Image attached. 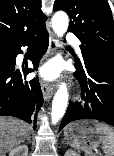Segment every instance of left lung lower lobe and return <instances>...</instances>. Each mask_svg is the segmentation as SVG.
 <instances>
[{"instance_id": "1", "label": "left lung lower lobe", "mask_w": 114, "mask_h": 156, "mask_svg": "<svg viewBox=\"0 0 114 156\" xmlns=\"http://www.w3.org/2000/svg\"><path fill=\"white\" fill-rule=\"evenodd\" d=\"M75 60L76 77L82 87V103H70L59 131L69 122L97 119L114 126V63L91 52Z\"/></svg>"}]
</instances>
